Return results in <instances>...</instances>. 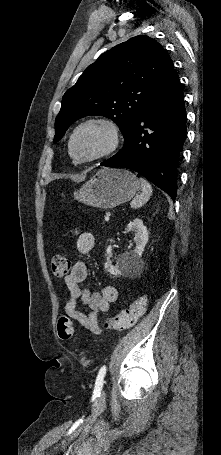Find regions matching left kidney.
Segmentation results:
<instances>
[{"mask_svg": "<svg viewBox=\"0 0 221 455\" xmlns=\"http://www.w3.org/2000/svg\"><path fill=\"white\" fill-rule=\"evenodd\" d=\"M126 230L135 232L134 241L136 247L129 253L122 254L116 265H113L110 258L112 254L111 246L107 248V261L105 263V269L112 275H121L122 273H129L135 270L140 262L144 248L148 242V231L146 226L143 225L141 219L136 218L131 221ZM112 241V240H111Z\"/></svg>", "mask_w": 221, "mask_h": 455, "instance_id": "left-kidney-1", "label": "left kidney"}]
</instances>
